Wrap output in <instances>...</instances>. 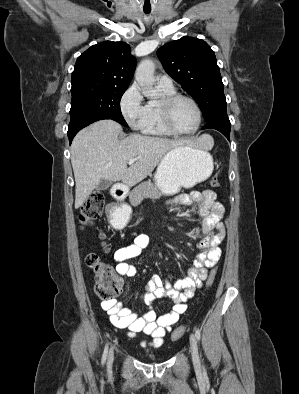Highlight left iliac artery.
I'll list each match as a JSON object with an SVG mask.
<instances>
[{
    "label": "left iliac artery",
    "instance_id": "1",
    "mask_svg": "<svg viewBox=\"0 0 299 394\" xmlns=\"http://www.w3.org/2000/svg\"><path fill=\"white\" fill-rule=\"evenodd\" d=\"M195 336H196L197 340L199 341V340H200V337H201V334H200V330H199V329H196V331H195Z\"/></svg>",
    "mask_w": 299,
    "mask_h": 394
}]
</instances>
